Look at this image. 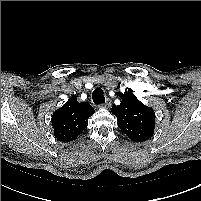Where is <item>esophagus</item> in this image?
Returning a JSON list of instances; mask_svg holds the SVG:
<instances>
[{
  "mask_svg": "<svg viewBox=\"0 0 201 201\" xmlns=\"http://www.w3.org/2000/svg\"><path fill=\"white\" fill-rule=\"evenodd\" d=\"M112 105V102L110 99H107L103 104L99 105V107H103V108H110Z\"/></svg>",
  "mask_w": 201,
  "mask_h": 201,
  "instance_id": "esophagus-1",
  "label": "esophagus"
}]
</instances>
